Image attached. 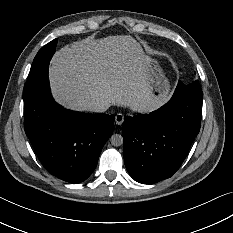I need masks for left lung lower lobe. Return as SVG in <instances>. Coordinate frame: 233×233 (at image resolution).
Wrapping results in <instances>:
<instances>
[{"label":"left lung lower lobe","instance_id":"obj_1","mask_svg":"<svg viewBox=\"0 0 233 233\" xmlns=\"http://www.w3.org/2000/svg\"><path fill=\"white\" fill-rule=\"evenodd\" d=\"M203 92L178 83L171 100L150 114L127 116L122 125L124 162L142 184L170 178L200 131Z\"/></svg>","mask_w":233,"mask_h":233}]
</instances>
